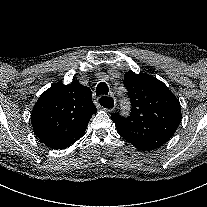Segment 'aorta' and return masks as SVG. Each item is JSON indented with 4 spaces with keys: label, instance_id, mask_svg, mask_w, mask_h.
Segmentation results:
<instances>
[{
    "label": "aorta",
    "instance_id": "aorta-1",
    "mask_svg": "<svg viewBox=\"0 0 207 207\" xmlns=\"http://www.w3.org/2000/svg\"><path fill=\"white\" fill-rule=\"evenodd\" d=\"M123 107L128 108V106H127V105H126V106H123Z\"/></svg>",
    "mask_w": 207,
    "mask_h": 207
}]
</instances>
